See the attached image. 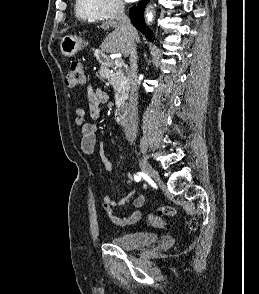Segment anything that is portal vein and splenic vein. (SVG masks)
<instances>
[{"mask_svg": "<svg viewBox=\"0 0 259 294\" xmlns=\"http://www.w3.org/2000/svg\"><path fill=\"white\" fill-rule=\"evenodd\" d=\"M115 65H116L117 67H122V66L124 65V62H123V60H121V59H116V60H115Z\"/></svg>", "mask_w": 259, "mask_h": 294, "instance_id": "portal-vein-and-splenic-vein-1", "label": "portal vein and splenic vein"}]
</instances>
